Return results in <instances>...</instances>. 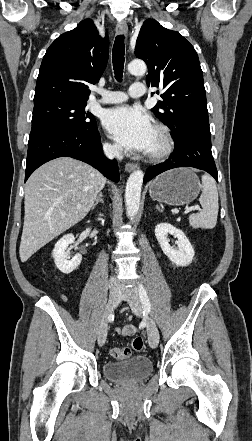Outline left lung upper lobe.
Masks as SVG:
<instances>
[{
	"mask_svg": "<svg viewBox=\"0 0 252 441\" xmlns=\"http://www.w3.org/2000/svg\"><path fill=\"white\" fill-rule=\"evenodd\" d=\"M135 55L148 66L147 85L163 91L164 101L152 111L171 129L172 137L189 123L209 125L198 55L182 35L147 19L140 29Z\"/></svg>",
	"mask_w": 252,
	"mask_h": 441,
	"instance_id": "5c2ea615",
	"label": "left lung upper lobe"
}]
</instances>
